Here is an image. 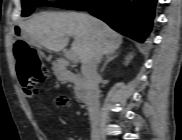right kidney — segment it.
Here are the masks:
<instances>
[{
  "instance_id": "right-kidney-1",
  "label": "right kidney",
  "mask_w": 182,
  "mask_h": 140,
  "mask_svg": "<svg viewBox=\"0 0 182 140\" xmlns=\"http://www.w3.org/2000/svg\"><path fill=\"white\" fill-rule=\"evenodd\" d=\"M131 58H132V55H129V56L127 57L126 62H125L126 65L130 62Z\"/></svg>"
}]
</instances>
